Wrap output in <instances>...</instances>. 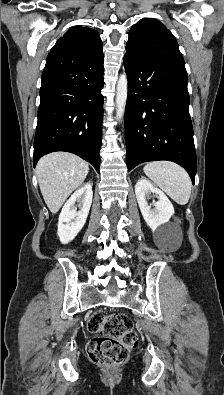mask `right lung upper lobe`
<instances>
[{"mask_svg": "<svg viewBox=\"0 0 224 395\" xmlns=\"http://www.w3.org/2000/svg\"><path fill=\"white\" fill-rule=\"evenodd\" d=\"M60 42L71 44L77 52L88 57L103 55L99 33L89 27L78 25L70 28L56 44Z\"/></svg>", "mask_w": 224, "mask_h": 395, "instance_id": "cb5924a9", "label": "right lung upper lobe"}]
</instances>
